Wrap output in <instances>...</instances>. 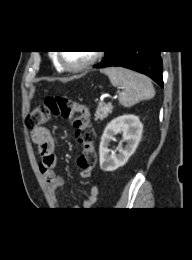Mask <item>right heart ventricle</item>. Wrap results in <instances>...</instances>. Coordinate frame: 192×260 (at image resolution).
Wrapping results in <instances>:
<instances>
[{
	"instance_id": "e07e8e85",
	"label": "right heart ventricle",
	"mask_w": 192,
	"mask_h": 260,
	"mask_svg": "<svg viewBox=\"0 0 192 260\" xmlns=\"http://www.w3.org/2000/svg\"><path fill=\"white\" fill-rule=\"evenodd\" d=\"M53 62H54V66L56 67V69L60 70V65L55 57L53 58Z\"/></svg>"
}]
</instances>
